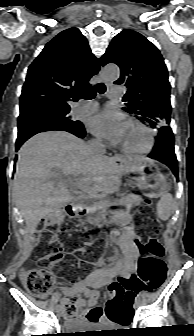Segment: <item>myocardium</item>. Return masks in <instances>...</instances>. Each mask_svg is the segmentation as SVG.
Returning <instances> with one entry per match:
<instances>
[{
	"label": "myocardium",
	"mask_w": 194,
	"mask_h": 336,
	"mask_svg": "<svg viewBox=\"0 0 194 336\" xmlns=\"http://www.w3.org/2000/svg\"><path fill=\"white\" fill-rule=\"evenodd\" d=\"M128 124L133 125L137 128H139L140 130H142L143 132L146 133L148 141L147 144L140 149H131L126 147L125 145L120 144V149L129 155H144V154H148L150 153L156 143V137H155V132L148 126H146L145 124H143L142 122L136 120V119H129L128 120Z\"/></svg>",
	"instance_id": "obj_1"
}]
</instances>
